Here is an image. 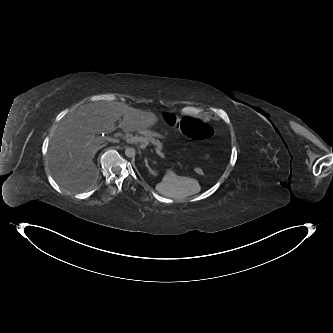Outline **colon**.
<instances>
[{"mask_svg": "<svg viewBox=\"0 0 333 333\" xmlns=\"http://www.w3.org/2000/svg\"><path fill=\"white\" fill-rule=\"evenodd\" d=\"M159 122L163 127L172 131L180 129L184 135L194 140L208 141L214 138L216 134L211 124L191 117L181 118L170 111L163 112L159 117ZM195 171L198 175L203 174V171L199 168Z\"/></svg>", "mask_w": 333, "mask_h": 333, "instance_id": "obj_1", "label": "colon"}]
</instances>
